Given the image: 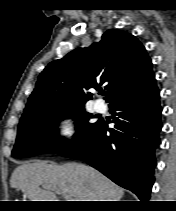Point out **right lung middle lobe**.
Masks as SVG:
<instances>
[{"label":"right lung middle lobe","mask_w":176,"mask_h":211,"mask_svg":"<svg viewBox=\"0 0 176 211\" xmlns=\"http://www.w3.org/2000/svg\"><path fill=\"white\" fill-rule=\"evenodd\" d=\"M74 117L76 137L69 141L57 135L58 122L65 117ZM91 114L84 111V106L49 109L32 116L22 118L12 151L14 157H30L43 153H59L80 143L96 123H89Z\"/></svg>","instance_id":"obj_1"}]
</instances>
